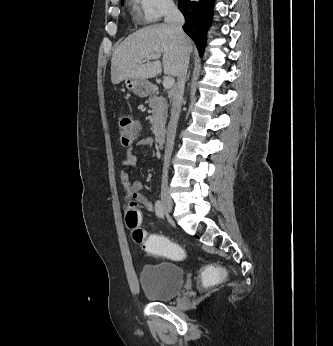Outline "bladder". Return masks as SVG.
<instances>
[{
	"instance_id": "obj_1",
	"label": "bladder",
	"mask_w": 333,
	"mask_h": 346,
	"mask_svg": "<svg viewBox=\"0 0 333 346\" xmlns=\"http://www.w3.org/2000/svg\"><path fill=\"white\" fill-rule=\"evenodd\" d=\"M184 273L181 267L173 263H160L144 266L139 282L146 296L162 302L178 294L183 285Z\"/></svg>"
}]
</instances>
